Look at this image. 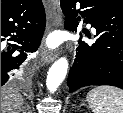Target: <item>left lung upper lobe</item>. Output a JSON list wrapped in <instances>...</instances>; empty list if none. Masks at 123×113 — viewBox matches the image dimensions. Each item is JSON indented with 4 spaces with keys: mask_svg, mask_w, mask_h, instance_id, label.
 Returning <instances> with one entry per match:
<instances>
[{
    "mask_svg": "<svg viewBox=\"0 0 123 113\" xmlns=\"http://www.w3.org/2000/svg\"><path fill=\"white\" fill-rule=\"evenodd\" d=\"M117 7L123 9V0H108Z\"/></svg>",
    "mask_w": 123,
    "mask_h": 113,
    "instance_id": "obj_1",
    "label": "left lung upper lobe"
}]
</instances>
